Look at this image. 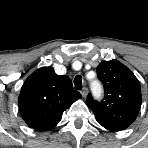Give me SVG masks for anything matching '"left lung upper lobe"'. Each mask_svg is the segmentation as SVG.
I'll return each instance as SVG.
<instances>
[{"label":"left lung upper lobe","instance_id":"1","mask_svg":"<svg viewBox=\"0 0 148 148\" xmlns=\"http://www.w3.org/2000/svg\"><path fill=\"white\" fill-rule=\"evenodd\" d=\"M97 75L104 85V99L98 102L89 94L86 104L98 123L107 130L126 129L136 119L142 103L138 79L116 59L101 62Z\"/></svg>","mask_w":148,"mask_h":148}]
</instances>
